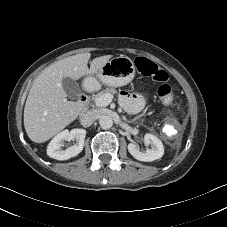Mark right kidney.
<instances>
[{"mask_svg": "<svg viewBox=\"0 0 227 227\" xmlns=\"http://www.w3.org/2000/svg\"><path fill=\"white\" fill-rule=\"evenodd\" d=\"M85 136L86 131L84 129L76 128L72 129L71 131L63 130L62 132L58 133L48 144L47 155L57 160H67L71 157H75L83 150ZM71 140H75L76 143L73 146L63 150L62 147L64 146V141Z\"/></svg>", "mask_w": 227, "mask_h": 227, "instance_id": "1", "label": "right kidney"}]
</instances>
